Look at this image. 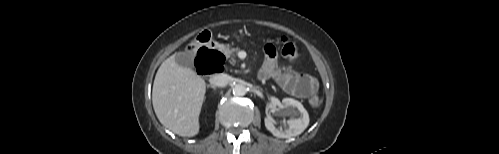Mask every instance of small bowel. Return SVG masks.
I'll list each match as a JSON object with an SVG mask.
<instances>
[{
    "label": "small bowel",
    "mask_w": 499,
    "mask_h": 154,
    "mask_svg": "<svg viewBox=\"0 0 499 154\" xmlns=\"http://www.w3.org/2000/svg\"><path fill=\"white\" fill-rule=\"evenodd\" d=\"M264 51L266 60L260 70L262 79L273 78L284 91L298 98H308L318 91V82L313 76L279 70L276 50L272 45H267Z\"/></svg>",
    "instance_id": "c3829d8e"
}]
</instances>
